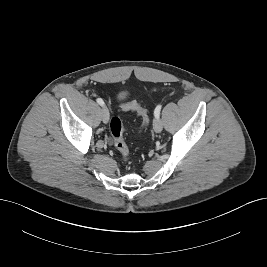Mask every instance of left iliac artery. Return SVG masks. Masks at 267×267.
Wrapping results in <instances>:
<instances>
[{"label":"left iliac artery","instance_id":"left-iliac-artery-1","mask_svg":"<svg viewBox=\"0 0 267 267\" xmlns=\"http://www.w3.org/2000/svg\"><path fill=\"white\" fill-rule=\"evenodd\" d=\"M161 108H162V105H158V106L155 108V110H154V116H155L156 118H159Z\"/></svg>","mask_w":267,"mask_h":267}]
</instances>
